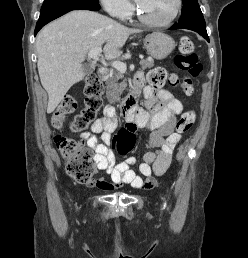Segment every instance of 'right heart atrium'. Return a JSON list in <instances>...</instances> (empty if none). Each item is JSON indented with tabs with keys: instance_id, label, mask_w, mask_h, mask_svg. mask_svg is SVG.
<instances>
[{
	"instance_id": "right-heart-atrium-1",
	"label": "right heart atrium",
	"mask_w": 248,
	"mask_h": 258,
	"mask_svg": "<svg viewBox=\"0 0 248 258\" xmlns=\"http://www.w3.org/2000/svg\"><path fill=\"white\" fill-rule=\"evenodd\" d=\"M105 11L116 18H126L132 8L128 0H100Z\"/></svg>"
}]
</instances>
